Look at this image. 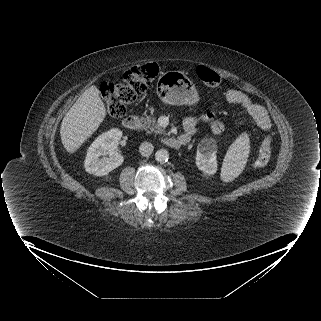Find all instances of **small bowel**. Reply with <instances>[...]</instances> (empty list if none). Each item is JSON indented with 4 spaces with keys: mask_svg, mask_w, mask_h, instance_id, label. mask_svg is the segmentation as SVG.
Returning a JSON list of instances; mask_svg holds the SVG:
<instances>
[{
    "mask_svg": "<svg viewBox=\"0 0 321 321\" xmlns=\"http://www.w3.org/2000/svg\"><path fill=\"white\" fill-rule=\"evenodd\" d=\"M225 98L229 103L241 107L246 114L252 118L261 130H268L271 127V119L266 109L254 103L248 94L237 89H228ZM206 121L209 123V130L212 134L218 135L223 130L222 123L213 115H208ZM200 121L194 117H188L184 121V140L188 142L193 136L200 134Z\"/></svg>",
    "mask_w": 321,
    "mask_h": 321,
    "instance_id": "obj_1",
    "label": "small bowel"
}]
</instances>
